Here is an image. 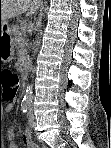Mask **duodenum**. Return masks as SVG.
Returning <instances> with one entry per match:
<instances>
[{
  "mask_svg": "<svg viewBox=\"0 0 111 148\" xmlns=\"http://www.w3.org/2000/svg\"><path fill=\"white\" fill-rule=\"evenodd\" d=\"M21 62H22L23 64H26V63L28 62V59H27V58H21Z\"/></svg>",
  "mask_w": 111,
  "mask_h": 148,
  "instance_id": "duodenum-1",
  "label": "duodenum"
}]
</instances>
